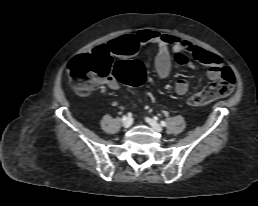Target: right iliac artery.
<instances>
[{
  "mask_svg": "<svg viewBox=\"0 0 258 206\" xmlns=\"http://www.w3.org/2000/svg\"><path fill=\"white\" fill-rule=\"evenodd\" d=\"M126 119H127L126 116H123V117H122V121H123V122H124Z\"/></svg>",
  "mask_w": 258,
  "mask_h": 206,
  "instance_id": "obj_1",
  "label": "right iliac artery"
}]
</instances>
